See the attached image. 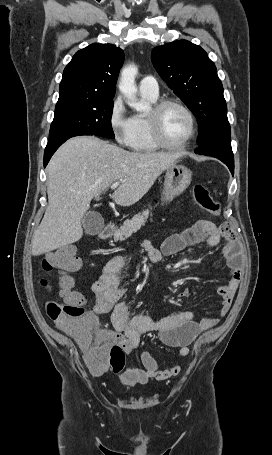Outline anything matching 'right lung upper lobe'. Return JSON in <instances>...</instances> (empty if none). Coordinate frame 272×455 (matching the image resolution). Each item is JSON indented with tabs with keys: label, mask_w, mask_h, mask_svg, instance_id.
<instances>
[{
	"label": "right lung upper lobe",
	"mask_w": 272,
	"mask_h": 455,
	"mask_svg": "<svg viewBox=\"0 0 272 455\" xmlns=\"http://www.w3.org/2000/svg\"><path fill=\"white\" fill-rule=\"evenodd\" d=\"M123 60V50L112 44H91L76 52L63 71L58 102L113 99Z\"/></svg>",
	"instance_id": "cb5924a9"
}]
</instances>
